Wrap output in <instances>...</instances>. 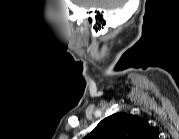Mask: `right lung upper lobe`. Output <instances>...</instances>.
<instances>
[{"mask_svg":"<svg viewBox=\"0 0 179 139\" xmlns=\"http://www.w3.org/2000/svg\"><path fill=\"white\" fill-rule=\"evenodd\" d=\"M153 128L138 116L120 112L103 119L86 139H149Z\"/></svg>","mask_w":179,"mask_h":139,"instance_id":"obj_1","label":"right lung upper lobe"}]
</instances>
